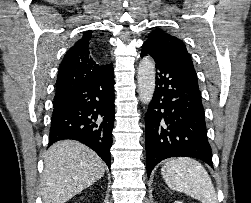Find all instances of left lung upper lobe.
I'll return each mask as SVG.
<instances>
[{"instance_id":"obj_1","label":"left lung upper lobe","mask_w":251,"mask_h":203,"mask_svg":"<svg viewBox=\"0 0 251 203\" xmlns=\"http://www.w3.org/2000/svg\"><path fill=\"white\" fill-rule=\"evenodd\" d=\"M144 44L151 46L166 56L179 60L191 71L196 73L190 54L187 52L184 43L177 37L171 36L160 29H156L152 31Z\"/></svg>"}]
</instances>
